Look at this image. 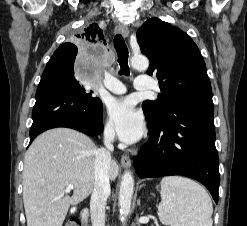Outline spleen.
Instances as JSON below:
<instances>
[{
	"label": "spleen",
	"mask_w": 247,
	"mask_h": 226,
	"mask_svg": "<svg viewBox=\"0 0 247 226\" xmlns=\"http://www.w3.org/2000/svg\"><path fill=\"white\" fill-rule=\"evenodd\" d=\"M159 217L171 226H212L213 206L206 190L197 182L180 176L161 180Z\"/></svg>",
	"instance_id": "3e777b00"
}]
</instances>
